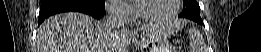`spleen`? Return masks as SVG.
<instances>
[{
    "mask_svg": "<svg viewBox=\"0 0 261 52\" xmlns=\"http://www.w3.org/2000/svg\"><path fill=\"white\" fill-rule=\"evenodd\" d=\"M189 35H190V37L191 36H195V35H200V32L197 29H195V28H191L189 30Z\"/></svg>",
    "mask_w": 261,
    "mask_h": 52,
    "instance_id": "3e777b00",
    "label": "spleen"
}]
</instances>
